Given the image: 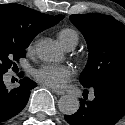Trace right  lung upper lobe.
I'll return each mask as SVG.
<instances>
[{"instance_id":"right-lung-upper-lobe-1","label":"right lung upper lobe","mask_w":125,"mask_h":125,"mask_svg":"<svg viewBox=\"0 0 125 125\" xmlns=\"http://www.w3.org/2000/svg\"><path fill=\"white\" fill-rule=\"evenodd\" d=\"M63 18V15H46L20 4H1L0 37L30 44L36 35Z\"/></svg>"}]
</instances>
